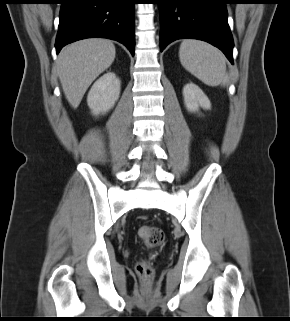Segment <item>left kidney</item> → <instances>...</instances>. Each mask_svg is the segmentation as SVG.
<instances>
[{
  "label": "left kidney",
  "instance_id": "1",
  "mask_svg": "<svg viewBox=\"0 0 290 321\" xmlns=\"http://www.w3.org/2000/svg\"><path fill=\"white\" fill-rule=\"evenodd\" d=\"M184 104L188 111L197 112L199 107L211 109V103L204 92L194 83H188L183 88Z\"/></svg>",
  "mask_w": 290,
  "mask_h": 321
}]
</instances>
